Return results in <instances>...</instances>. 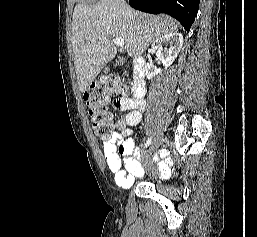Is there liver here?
<instances>
[{"instance_id": "1", "label": "liver", "mask_w": 257, "mask_h": 237, "mask_svg": "<svg viewBox=\"0 0 257 237\" xmlns=\"http://www.w3.org/2000/svg\"><path fill=\"white\" fill-rule=\"evenodd\" d=\"M177 31L172 18L136 11L121 0L78 3L72 19V47L79 90L86 91L115 57L112 38H122L128 56L138 57L156 39Z\"/></svg>"}]
</instances>
